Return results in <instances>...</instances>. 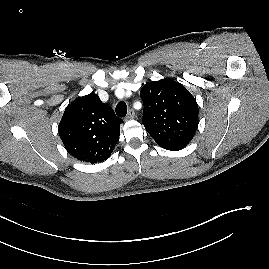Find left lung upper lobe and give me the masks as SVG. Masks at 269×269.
Returning a JSON list of instances; mask_svg holds the SVG:
<instances>
[{"label": "left lung upper lobe", "instance_id": "5c2ea615", "mask_svg": "<svg viewBox=\"0 0 269 269\" xmlns=\"http://www.w3.org/2000/svg\"><path fill=\"white\" fill-rule=\"evenodd\" d=\"M143 124L162 148L185 147L198 126V104L180 83L162 79L141 89Z\"/></svg>", "mask_w": 269, "mask_h": 269}]
</instances>
